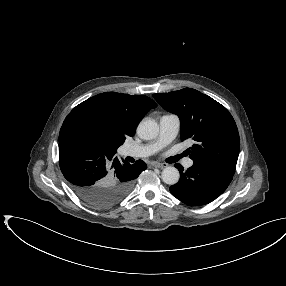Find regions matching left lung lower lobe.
Masks as SVG:
<instances>
[{
    "instance_id": "1",
    "label": "left lung lower lobe",
    "mask_w": 286,
    "mask_h": 286,
    "mask_svg": "<svg viewBox=\"0 0 286 286\" xmlns=\"http://www.w3.org/2000/svg\"><path fill=\"white\" fill-rule=\"evenodd\" d=\"M180 172V180L169 188L171 194L190 206L205 205L221 195L230 184L231 175L207 166L195 165L183 172V167L175 165Z\"/></svg>"
}]
</instances>
